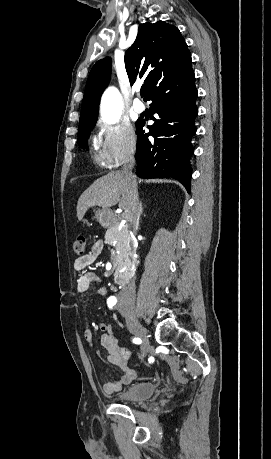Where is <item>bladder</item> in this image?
Listing matches in <instances>:
<instances>
[{"mask_svg": "<svg viewBox=\"0 0 271 459\" xmlns=\"http://www.w3.org/2000/svg\"><path fill=\"white\" fill-rule=\"evenodd\" d=\"M156 391L152 382L135 383L126 389L119 397L121 404H136L150 398Z\"/></svg>", "mask_w": 271, "mask_h": 459, "instance_id": "obj_1", "label": "bladder"}]
</instances>
